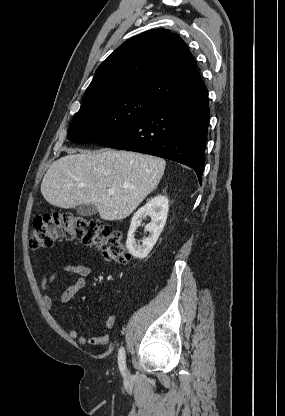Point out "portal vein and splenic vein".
<instances>
[{"instance_id":"portal-vein-and-splenic-vein-1","label":"portal vein and splenic vein","mask_w":285,"mask_h":416,"mask_svg":"<svg viewBox=\"0 0 285 416\" xmlns=\"http://www.w3.org/2000/svg\"><path fill=\"white\" fill-rule=\"evenodd\" d=\"M108 194L109 196H113V194H115V190H108Z\"/></svg>"}]
</instances>
